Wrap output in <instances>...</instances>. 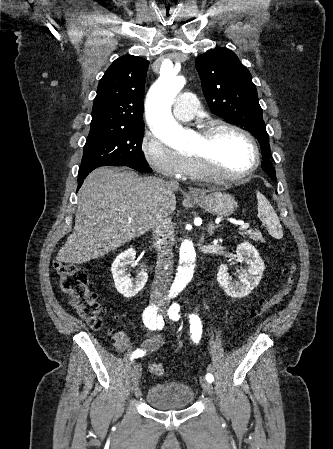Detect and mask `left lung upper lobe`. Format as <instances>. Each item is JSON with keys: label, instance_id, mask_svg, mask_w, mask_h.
<instances>
[{"label": "left lung upper lobe", "instance_id": "5c2ea615", "mask_svg": "<svg viewBox=\"0 0 333 449\" xmlns=\"http://www.w3.org/2000/svg\"><path fill=\"white\" fill-rule=\"evenodd\" d=\"M195 65L210 110L240 124L258 139L263 156L262 168L271 179L276 180L275 169L269 159V135L248 69L226 48L199 55Z\"/></svg>", "mask_w": 333, "mask_h": 449}]
</instances>
